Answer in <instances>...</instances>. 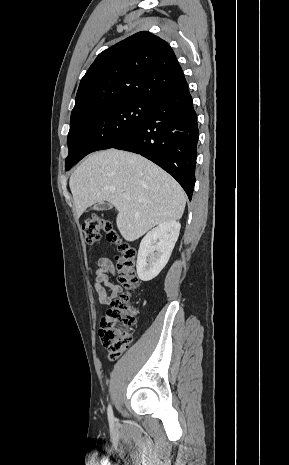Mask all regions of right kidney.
Returning a JSON list of instances; mask_svg holds the SVG:
<instances>
[{
    "instance_id": "1",
    "label": "right kidney",
    "mask_w": 289,
    "mask_h": 465,
    "mask_svg": "<svg viewBox=\"0 0 289 465\" xmlns=\"http://www.w3.org/2000/svg\"><path fill=\"white\" fill-rule=\"evenodd\" d=\"M180 227L177 221H166L144 236L140 243L136 265L140 280H152L165 267L178 239Z\"/></svg>"
}]
</instances>
